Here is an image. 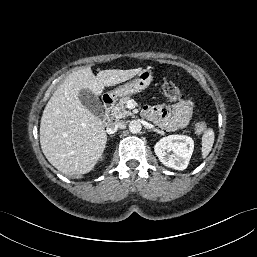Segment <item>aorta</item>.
Returning <instances> with one entry per match:
<instances>
[{
  "mask_svg": "<svg viewBox=\"0 0 257 257\" xmlns=\"http://www.w3.org/2000/svg\"><path fill=\"white\" fill-rule=\"evenodd\" d=\"M141 128V123L138 120H132L129 123V130L133 134L139 133L141 131Z\"/></svg>",
  "mask_w": 257,
  "mask_h": 257,
  "instance_id": "1",
  "label": "aorta"
}]
</instances>
